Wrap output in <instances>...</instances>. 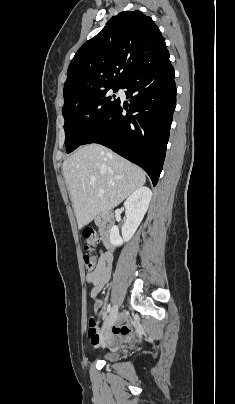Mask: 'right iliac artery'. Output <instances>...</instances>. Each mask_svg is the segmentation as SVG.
<instances>
[{"instance_id": "82829eb1", "label": "right iliac artery", "mask_w": 235, "mask_h": 404, "mask_svg": "<svg viewBox=\"0 0 235 404\" xmlns=\"http://www.w3.org/2000/svg\"><path fill=\"white\" fill-rule=\"evenodd\" d=\"M112 311H113V308H111V305L109 304L107 307V312H108V314L110 313V317H111Z\"/></svg>"}]
</instances>
